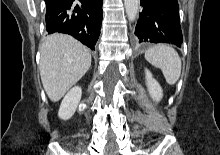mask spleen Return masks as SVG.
<instances>
[{
  "label": "spleen",
  "instance_id": "obj_1",
  "mask_svg": "<svg viewBox=\"0 0 220 155\" xmlns=\"http://www.w3.org/2000/svg\"><path fill=\"white\" fill-rule=\"evenodd\" d=\"M145 59L159 68L166 82L174 85L181 74V59L174 48L167 44H158L152 46L145 52Z\"/></svg>",
  "mask_w": 220,
  "mask_h": 155
}]
</instances>
